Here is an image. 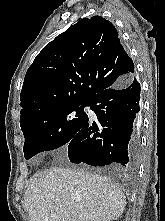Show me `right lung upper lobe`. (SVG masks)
Returning a JSON list of instances; mask_svg holds the SVG:
<instances>
[{
  "instance_id": "cb5924a9",
  "label": "right lung upper lobe",
  "mask_w": 165,
  "mask_h": 221,
  "mask_svg": "<svg viewBox=\"0 0 165 221\" xmlns=\"http://www.w3.org/2000/svg\"><path fill=\"white\" fill-rule=\"evenodd\" d=\"M134 72L113 24L101 16L81 19L48 43L28 68L20 123L47 110L89 103Z\"/></svg>"
}]
</instances>
